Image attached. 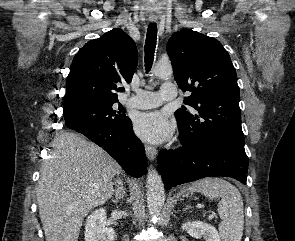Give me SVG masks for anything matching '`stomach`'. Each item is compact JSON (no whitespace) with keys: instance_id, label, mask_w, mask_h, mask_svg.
Returning a JSON list of instances; mask_svg holds the SVG:
<instances>
[{"instance_id":"1","label":"stomach","mask_w":295,"mask_h":241,"mask_svg":"<svg viewBox=\"0 0 295 241\" xmlns=\"http://www.w3.org/2000/svg\"><path fill=\"white\" fill-rule=\"evenodd\" d=\"M184 193H185V196L188 197L190 194H192V191H189V189H187V190H185Z\"/></svg>"}]
</instances>
